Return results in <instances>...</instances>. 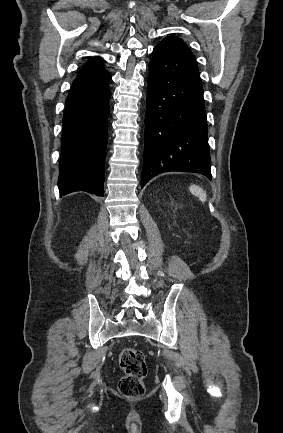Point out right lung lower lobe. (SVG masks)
Listing matches in <instances>:
<instances>
[{
	"instance_id": "1",
	"label": "right lung lower lobe",
	"mask_w": 283,
	"mask_h": 433,
	"mask_svg": "<svg viewBox=\"0 0 283 433\" xmlns=\"http://www.w3.org/2000/svg\"><path fill=\"white\" fill-rule=\"evenodd\" d=\"M110 79L107 74L71 86L63 117L60 196L74 191L104 195Z\"/></svg>"
}]
</instances>
